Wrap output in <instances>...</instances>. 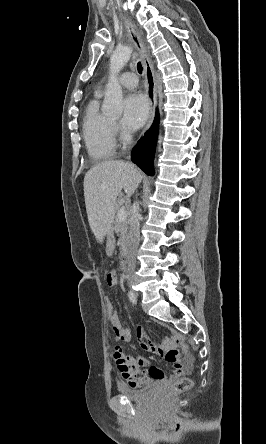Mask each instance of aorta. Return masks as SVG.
I'll return each mask as SVG.
<instances>
[{"label": "aorta", "instance_id": "obj_1", "mask_svg": "<svg viewBox=\"0 0 266 444\" xmlns=\"http://www.w3.org/2000/svg\"><path fill=\"white\" fill-rule=\"evenodd\" d=\"M132 49L128 46L117 48L110 57V76L102 105L106 115L119 117L123 112V94L117 76L131 57Z\"/></svg>", "mask_w": 266, "mask_h": 444}]
</instances>
